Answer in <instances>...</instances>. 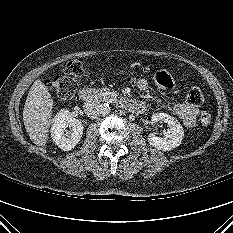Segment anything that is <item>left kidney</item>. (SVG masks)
I'll use <instances>...</instances> for the list:
<instances>
[{"instance_id": "obj_1", "label": "left kidney", "mask_w": 233, "mask_h": 233, "mask_svg": "<svg viewBox=\"0 0 233 233\" xmlns=\"http://www.w3.org/2000/svg\"><path fill=\"white\" fill-rule=\"evenodd\" d=\"M151 122L153 124L166 123L169 126L163 138L157 137L154 133L148 135L147 139L151 146L162 151H170L181 144L184 138V130L177 119L166 113H156L152 115Z\"/></svg>"}]
</instances>
